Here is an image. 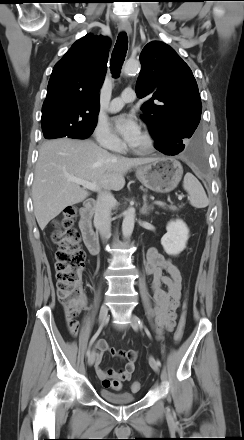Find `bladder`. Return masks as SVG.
<instances>
[{"instance_id":"obj_1","label":"bladder","mask_w":244,"mask_h":440,"mask_svg":"<svg viewBox=\"0 0 244 440\" xmlns=\"http://www.w3.org/2000/svg\"><path fill=\"white\" fill-rule=\"evenodd\" d=\"M99 394L105 401L113 404H129L136 401L137 397L131 392H114L105 386L99 389Z\"/></svg>"}]
</instances>
